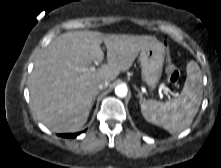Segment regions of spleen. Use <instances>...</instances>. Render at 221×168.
<instances>
[{
  "instance_id": "obj_1",
  "label": "spleen",
  "mask_w": 221,
  "mask_h": 168,
  "mask_svg": "<svg viewBox=\"0 0 221 168\" xmlns=\"http://www.w3.org/2000/svg\"><path fill=\"white\" fill-rule=\"evenodd\" d=\"M202 75L199 65L190 61L187 64V79L179 97L166 103L156 100H143L141 112L144 118L171 134L185 130L198 112L202 99Z\"/></svg>"
}]
</instances>
